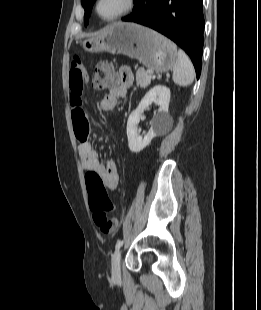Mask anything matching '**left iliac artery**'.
I'll return each instance as SVG.
<instances>
[{
	"instance_id": "44dca946",
	"label": "left iliac artery",
	"mask_w": 261,
	"mask_h": 310,
	"mask_svg": "<svg viewBox=\"0 0 261 310\" xmlns=\"http://www.w3.org/2000/svg\"><path fill=\"white\" fill-rule=\"evenodd\" d=\"M123 244V241L122 240H118L117 243H116V249L120 248Z\"/></svg>"
}]
</instances>
